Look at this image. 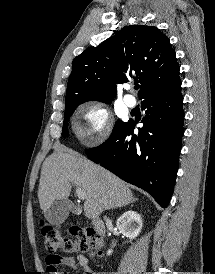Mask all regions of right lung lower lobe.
Instances as JSON below:
<instances>
[{"label":"right lung lower lobe","mask_w":215,"mask_h":274,"mask_svg":"<svg viewBox=\"0 0 215 274\" xmlns=\"http://www.w3.org/2000/svg\"><path fill=\"white\" fill-rule=\"evenodd\" d=\"M177 88L144 99L146 116L138 135L135 123H122L103 144L86 150L88 157L124 181L147 191L166 208L176 180L184 133L183 97Z\"/></svg>","instance_id":"obj_1"}]
</instances>
